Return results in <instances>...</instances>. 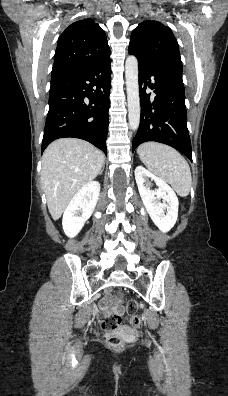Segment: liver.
Wrapping results in <instances>:
<instances>
[{
	"label": "liver",
	"instance_id": "liver-1",
	"mask_svg": "<svg viewBox=\"0 0 228 396\" xmlns=\"http://www.w3.org/2000/svg\"><path fill=\"white\" fill-rule=\"evenodd\" d=\"M104 155L77 138L52 142L42 156L41 185L49 212L58 220L74 195L100 173Z\"/></svg>",
	"mask_w": 228,
	"mask_h": 396
}]
</instances>
